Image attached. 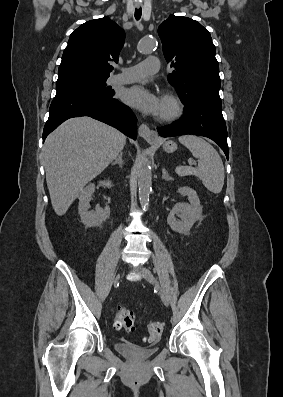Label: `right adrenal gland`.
Masks as SVG:
<instances>
[{
  "label": "right adrenal gland",
  "instance_id": "right-adrenal-gland-1",
  "mask_svg": "<svg viewBox=\"0 0 283 397\" xmlns=\"http://www.w3.org/2000/svg\"><path fill=\"white\" fill-rule=\"evenodd\" d=\"M122 157H123V153L120 152V154L118 155V157L115 159L114 162L111 163V165H116V164H118L119 167L122 168V165H123Z\"/></svg>",
  "mask_w": 283,
  "mask_h": 397
}]
</instances>
